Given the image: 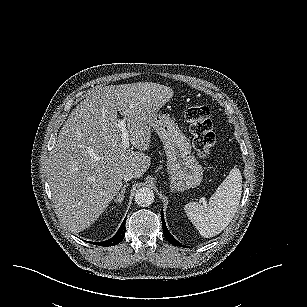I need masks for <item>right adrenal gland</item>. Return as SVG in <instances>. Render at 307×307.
Wrapping results in <instances>:
<instances>
[{
  "mask_svg": "<svg viewBox=\"0 0 307 307\" xmlns=\"http://www.w3.org/2000/svg\"><path fill=\"white\" fill-rule=\"evenodd\" d=\"M129 186L128 183H126L123 187H122V190L121 192L117 195L116 198H114V202L115 203H118V204H121L122 201L124 200V194L126 192V188Z\"/></svg>",
  "mask_w": 307,
  "mask_h": 307,
  "instance_id": "1",
  "label": "right adrenal gland"
}]
</instances>
